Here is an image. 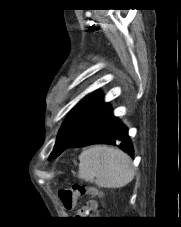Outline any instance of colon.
<instances>
[{
	"label": "colon",
	"mask_w": 181,
	"mask_h": 227,
	"mask_svg": "<svg viewBox=\"0 0 181 227\" xmlns=\"http://www.w3.org/2000/svg\"><path fill=\"white\" fill-rule=\"evenodd\" d=\"M86 195L96 196L101 195V193L93 187L81 183H75L71 189L60 191L59 199L67 210H72L75 207L77 198Z\"/></svg>",
	"instance_id": "obj_1"
}]
</instances>
